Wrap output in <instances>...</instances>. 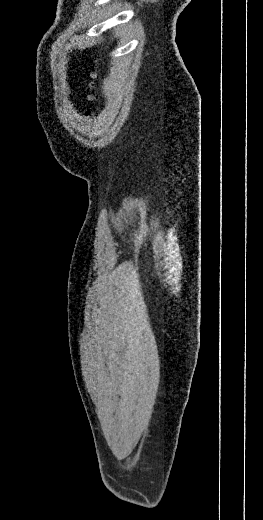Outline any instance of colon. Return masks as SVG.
<instances>
[{
    "label": "colon",
    "instance_id": "colon-1",
    "mask_svg": "<svg viewBox=\"0 0 263 520\" xmlns=\"http://www.w3.org/2000/svg\"><path fill=\"white\" fill-rule=\"evenodd\" d=\"M95 76H96V74H95V73H92V77L94 78Z\"/></svg>",
    "mask_w": 263,
    "mask_h": 520
}]
</instances>
